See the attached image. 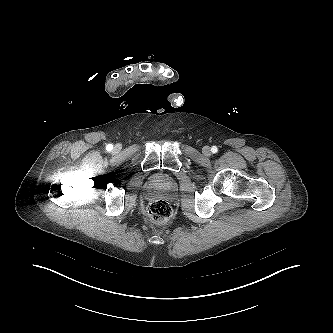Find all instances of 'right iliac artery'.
<instances>
[{"label":"right iliac artery","mask_w":333,"mask_h":333,"mask_svg":"<svg viewBox=\"0 0 333 333\" xmlns=\"http://www.w3.org/2000/svg\"><path fill=\"white\" fill-rule=\"evenodd\" d=\"M106 149L108 151H111L113 149V145L112 144H108L107 147H106Z\"/></svg>","instance_id":"right-iliac-artery-1"}]
</instances>
